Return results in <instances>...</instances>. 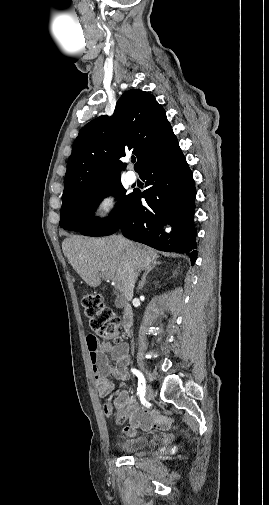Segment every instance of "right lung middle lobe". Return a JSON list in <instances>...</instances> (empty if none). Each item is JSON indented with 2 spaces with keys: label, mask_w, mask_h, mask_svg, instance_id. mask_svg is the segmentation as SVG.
I'll use <instances>...</instances> for the list:
<instances>
[{
  "label": "right lung middle lobe",
  "mask_w": 269,
  "mask_h": 505,
  "mask_svg": "<svg viewBox=\"0 0 269 505\" xmlns=\"http://www.w3.org/2000/svg\"><path fill=\"white\" fill-rule=\"evenodd\" d=\"M125 192L120 180H116L104 186L77 193L63 202L60 227L70 231H79L86 236L113 234L119 228L126 206L133 195V193L125 195ZM111 194L119 199L117 209L108 219L96 218L94 211L98 204Z\"/></svg>",
  "instance_id": "obj_1"
}]
</instances>
